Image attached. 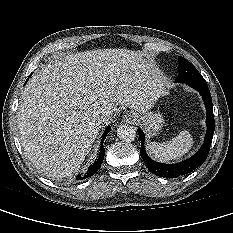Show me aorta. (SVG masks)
Segmentation results:
<instances>
[{"instance_id":"1","label":"aorta","mask_w":233,"mask_h":233,"mask_svg":"<svg viewBox=\"0 0 233 233\" xmlns=\"http://www.w3.org/2000/svg\"><path fill=\"white\" fill-rule=\"evenodd\" d=\"M117 136L120 140L131 142L136 137V129L128 124H123L117 129Z\"/></svg>"}]
</instances>
